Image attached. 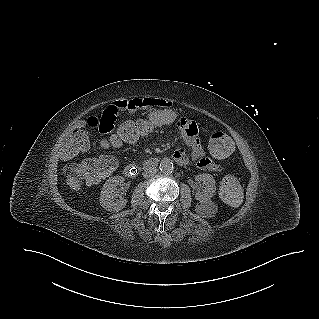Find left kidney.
Here are the masks:
<instances>
[{
    "instance_id": "5707ae66",
    "label": "left kidney",
    "mask_w": 319,
    "mask_h": 319,
    "mask_svg": "<svg viewBox=\"0 0 319 319\" xmlns=\"http://www.w3.org/2000/svg\"><path fill=\"white\" fill-rule=\"evenodd\" d=\"M195 180L203 182L204 185V189L202 191L196 192L195 199L198 200L201 204H209L214 207L215 205L211 203V198L216 191L215 180L213 176L203 173L196 175Z\"/></svg>"
}]
</instances>
